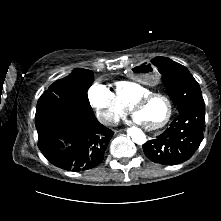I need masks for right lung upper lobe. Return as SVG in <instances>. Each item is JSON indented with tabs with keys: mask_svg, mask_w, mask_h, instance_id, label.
Masks as SVG:
<instances>
[{
	"mask_svg": "<svg viewBox=\"0 0 221 221\" xmlns=\"http://www.w3.org/2000/svg\"><path fill=\"white\" fill-rule=\"evenodd\" d=\"M79 70H80L79 68L73 70L72 74L76 73V72L79 71Z\"/></svg>",
	"mask_w": 221,
	"mask_h": 221,
	"instance_id": "cb5924a9",
	"label": "right lung upper lobe"
}]
</instances>
